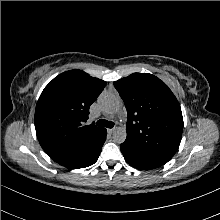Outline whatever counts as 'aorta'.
<instances>
[{
    "label": "aorta",
    "mask_w": 220,
    "mask_h": 220,
    "mask_svg": "<svg viewBox=\"0 0 220 220\" xmlns=\"http://www.w3.org/2000/svg\"><path fill=\"white\" fill-rule=\"evenodd\" d=\"M99 104L101 108L109 113H114L119 109V102L117 98L109 93H103L99 99ZM126 128L125 127H117L113 130V140L116 143H123L126 140Z\"/></svg>",
    "instance_id": "1"
}]
</instances>
